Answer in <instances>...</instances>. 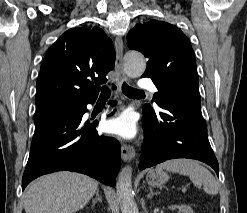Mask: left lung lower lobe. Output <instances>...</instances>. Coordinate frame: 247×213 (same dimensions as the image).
Instances as JSON below:
<instances>
[{
	"instance_id": "1",
	"label": "left lung lower lobe",
	"mask_w": 247,
	"mask_h": 213,
	"mask_svg": "<svg viewBox=\"0 0 247 213\" xmlns=\"http://www.w3.org/2000/svg\"><path fill=\"white\" fill-rule=\"evenodd\" d=\"M153 118H143L145 140L139 168L175 158L200 160L219 175L217 159L207 137L200 105L168 97Z\"/></svg>"
}]
</instances>
